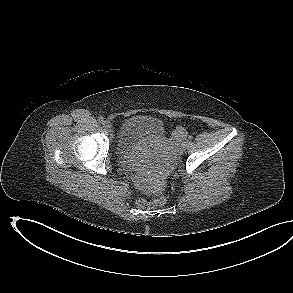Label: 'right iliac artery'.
<instances>
[{"mask_svg":"<svg viewBox=\"0 0 293 293\" xmlns=\"http://www.w3.org/2000/svg\"><path fill=\"white\" fill-rule=\"evenodd\" d=\"M98 121H99V123H101V124H104V122H105V121H104V118H103L102 116L98 118Z\"/></svg>","mask_w":293,"mask_h":293,"instance_id":"82829eb1","label":"right iliac artery"}]
</instances>
